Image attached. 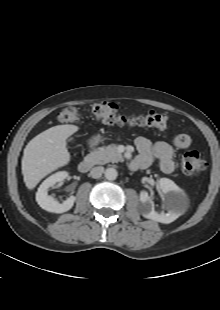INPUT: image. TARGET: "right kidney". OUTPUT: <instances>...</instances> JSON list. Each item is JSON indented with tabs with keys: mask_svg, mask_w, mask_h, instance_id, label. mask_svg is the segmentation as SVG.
Masks as SVG:
<instances>
[{
	"mask_svg": "<svg viewBox=\"0 0 220 310\" xmlns=\"http://www.w3.org/2000/svg\"><path fill=\"white\" fill-rule=\"evenodd\" d=\"M67 177L68 172L59 171L49 176L46 180L42 182L36 193V201L42 209L53 213H64L73 207L76 200L74 196H70L63 203H59L52 196L48 195V189L50 187H52L58 182H62Z\"/></svg>",
	"mask_w": 220,
	"mask_h": 310,
	"instance_id": "ca27d5eb",
	"label": "right kidney"
}]
</instances>
